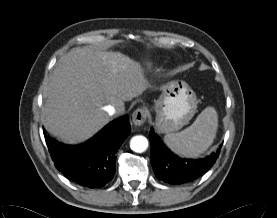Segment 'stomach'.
Masks as SVG:
<instances>
[{"mask_svg":"<svg viewBox=\"0 0 277 218\" xmlns=\"http://www.w3.org/2000/svg\"><path fill=\"white\" fill-rule=\"evenodd\" d=\"M195 92L184 81H171L155 101V126L160 133H173L187 125L197 111Z\"/></svg>","mask_w":277,"mask_h":218,"instance_id":"obj_1","label":"stomach"}]
</instances>
